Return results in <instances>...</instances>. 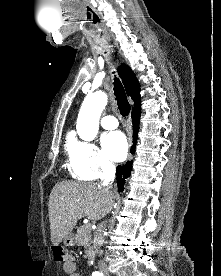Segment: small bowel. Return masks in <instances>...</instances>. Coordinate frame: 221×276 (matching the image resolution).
Instances as JSON below:
<instances>
[{
    "mask_svg": "<svg viewBox=\"0 0 221 276\" xmlns=\"http://www.w3.org/2000/svg\"><path fill=\"white\" fill-rule=\"evenodd\" d=\"M63 270L69 276H81L77 272L76 260L73 256H68L67 259L63 263Z\"/></svg>",
    "mask_w": 221,
    "mask_h": 276,
    "instance_id": "c3829d8e",
    "label": "small bowel"
}]
</instances>
